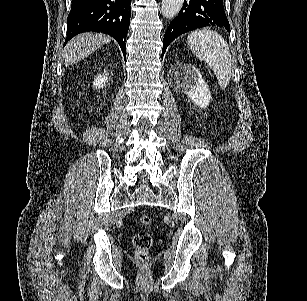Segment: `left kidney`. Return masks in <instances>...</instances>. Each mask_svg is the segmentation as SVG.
I'll return each instance as SVG.
<instances>
[{
	"instance_id": "5707ae66",
	"label": "left kidney",
	"mask_w": 307,
	"mask_h": 301,
	"mask_svg": "<svg viewBox=\"0 0 307 301\" xmlns=\"http://www.w3.org/2000/svg\"><path fill=\"white\" fill-rule=\"evenodd\" d=\"M174 68L172 76H177L178 80H172V86L187 94L199 108H206L211 100V90L202 78L200 70L189 62L174 64Z\"/></svg>"
}]
</instances>
